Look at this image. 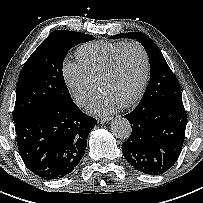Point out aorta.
Wrapping results in <instances>:
<instances>
[{"instance_id":"aorta-1","label":"aorta","mask_w":203,"mask_h":203,"mask_svg":"<svg viewBox=\"0 0 203 203\" xmlns=\"http://www.w3.org/2000/svg\"><path fill=\"white\" fill-rule=\"evenodd\" d=\"M111 130L116 138L126 140L132 133V127L130 122L122 117L116 118L111 123Z\"/></svg>"}]
</instances>
